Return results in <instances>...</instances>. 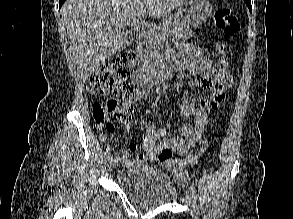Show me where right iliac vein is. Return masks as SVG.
I'll list each match as a JSON object with an SVG mask.
<instances>
[{"label": "right iliac vein", "mask_w": 293, "mask_h": 219, "mask_svg": "<svg viewBox=\"0 0 293 219\" xmlns=\"http://www.w3.org/2000/svg\"><path fill=\"white\" fill-rule=\"evenodd\" d=\"M115 165H116L115 161L113 159H109L108 169L110 172L113 171V169L115 168Z\"/></svg>", "instance_id": "63e3f726"}]
</instances>
